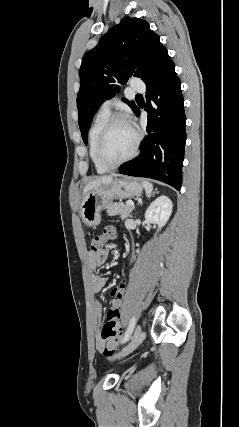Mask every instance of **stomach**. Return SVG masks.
Here are the masks:
<instances>
[{
	"mask_svg": "<svg viewBox=\"0 0 239 427\" xmlns=\"http://www.w3.org/2000/svg\"><path fill=\"white\" fill-rule=\"evenodd\" d=\"M142 185L133 178L115 179L109 185H102L90 190L83 197L80 215L84 223L95 227L101 222V211L115 199H127L142 193Z\"/></svg>",
	"mask_w": 239,
	"mask_h": 427,
	"instance_id": "obj_1",
	"label": "stomach"
}]
</instances>
